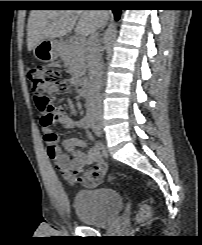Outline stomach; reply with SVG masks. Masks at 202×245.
<instances>
[{"label": "stomach", "instance_id": "obj_1", "mask_svg": "<svg viewBox=\"0 0 202 245\" xmlns=\"http://www.w3.org/2000/svg\"><path fill=\"white\" fill-rule=\"evenodd\" d=\"M33 54L41 62H52L61 54L60 43L55 39H44L34 47Z\"/></svg>", "mask_w": 202, "mask_h": 245}]
</instances>
